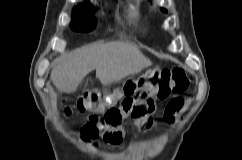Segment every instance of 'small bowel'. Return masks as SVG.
<instances>
[{"label":"small bowel","instance_id":"obj_1","mask_svg":"<svg viewBox=\"0 0 242 160\" xmlns=\"http://www.w3.org/2000/svg\"><path fill=\"white\" fill-rule=\"evenodd\" d=\"M122 110V106H120ZM176 112L167 113L166 111V119L167 121L171 122L174 118ZM135 123L137 126L142 128H149L152 125L151 119L148 118H135ZM125 136V131L121 124L115 126L114 128L110 129L109 131L103 133L102 138L103 140L110 144V145H119Z\"/></svg>","mask_w":242,"mask_h":160}]
</instances>
